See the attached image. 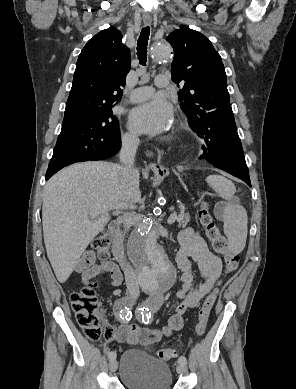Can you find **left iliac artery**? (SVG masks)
Listing matches in <instances>:
<instances>
[{
	"label": "left iliac artery",
	"mask_w": 296,
	"mask_h": 389,
	"mask_svg": "<svg viewBox=\"0 0 296 389\" xmlns=\"http://www.w3.org/2000/svg\"><path fill=\"white\" fill-rule=\"evenodd\" d=\"M153 312H154V309L151 306L142 305L136 310V316L139 320H142L145 324H148L150 322V319H151ZM178 363L187 364L186 357L181 356L178 359Z\"/></svg>",
	"instance_id": "1"
}]
</instances>
